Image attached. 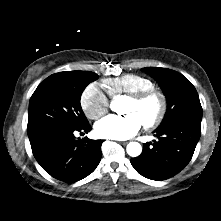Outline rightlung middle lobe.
Returning <instances> with one entry per match:
<instances>
[{
  "label": "right lung middle lobe",
  "instance_id": "dd1d6c3e",
  "mask_svg": "<svg viewBox=\"0 0 221 221\" xmlns=\"http://www.w3.org/2000/svg\"><path fill=\"white\" fill-rule=\"evenodd\" d=\"M97 78L90 71H65L41 82L29 103L28 136L48 126L87 124L80 98L85 87Z\"/></svg>",
  "mask_w": 221,
  "mask_h": 221
}]
</instances>
